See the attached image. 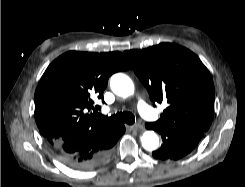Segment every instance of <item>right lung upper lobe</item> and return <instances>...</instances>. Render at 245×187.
Listing matches in <instances>:
<instances>
[{
  "mask_svg": "<svg viewBox=\"0 0 245 187\" xmlns=\"http://www.w3.org/2000/svg\"><path fill=\"white\" fill-rule=\"evenodd\" d=\"M128 69L120 52L69 51L54 60L35 91V120L49 145L113 127L95 118L93 98H102L113 73Z\"/></svg>",
  "mask_w": 245,
  "mask_h": 187,
  "instance_id": "obj_1",
  "label": "right lung upper lobe"
}]
</instances>
